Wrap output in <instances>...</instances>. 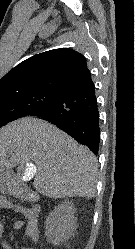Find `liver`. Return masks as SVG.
<instances>
[{
    "mask_svg": "<svg viewBox=\"0 0 135 249\" xmlns=\"http://www.w3.org/2000/svg\"><path fill=\"white\" fill-rule=\"evenodd\" d=\"M33 161V186L50 198H93L98 163L86 146L56 126L34 117H24L0 129V168L12 170Z\"/></svg>",
    "mask_w": 135,
    "mask_h": 249,
    "instance_id": "liver-1",
    "label": "liver"
}]
</instances>
